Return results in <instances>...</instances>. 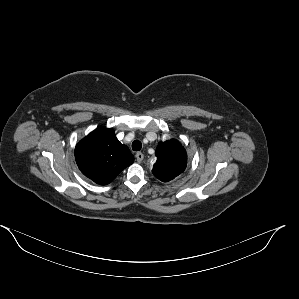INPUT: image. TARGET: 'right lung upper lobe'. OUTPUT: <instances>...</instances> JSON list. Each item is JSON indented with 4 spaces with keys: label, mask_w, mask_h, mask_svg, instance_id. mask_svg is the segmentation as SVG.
<instances>
[{
    "label": "right lung upper lobe",
    "mask_w": 299,
    "mask_h": 299,
    "mask_svg": "<svg viewBox=\"0 0 299 299\" xmlns=\"http://www.w3.org/2000/svg\"><path fill=\"white\" fill-rule=\"evenodd\" d=\"M81 172L100 185L109 184L134 157L126 145L116 138L113 129L98 128L81 140L75 148Z\"/></svg>",
    "instance_id": "right-lung-upper-lobe-1"
}]
</instances>
